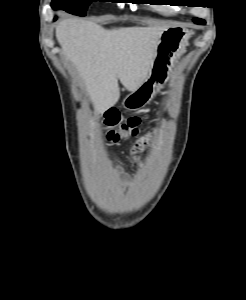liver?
Returning a JSON list of instances; mask_svg holds the SVG:
<instances>
[{"mask_svg":"<svg viewBox=\"0 0 246 300\" xmlns=\"http://www.w3.org/2000/svg\"><path fill=\"white\" fill-rule=\"evenodd\" d=\"M166 29H105L90 21L69 18L57 25L56 38L83 79L95 111L103 113L119 100L118 80L131 92L146 81L159 38Z\"/></svg>","mask_w":246,"mask_h":300,"instance_id":"obj_1","label":"liver"}]
</instances>
